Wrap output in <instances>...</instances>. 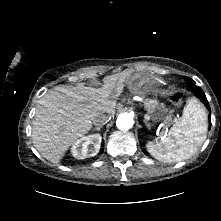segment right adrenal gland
I'll return each mask as SVG.
<instances>
[{"instance_id":"obj_1","label":"right adrenal gland","mask_w":221,"mask_h":221,"mask_svg":"<svg viewBox=\"0 0 221 221\" xmlns=\"http://www.w3.org/2000/svg\"><path fill=\"white\" fill-rule=\"evenodd\" d=\"M101 128H102V126H99V127H96V128H93V131H100L101 130Z\"/></svg>"}]
</instances>
